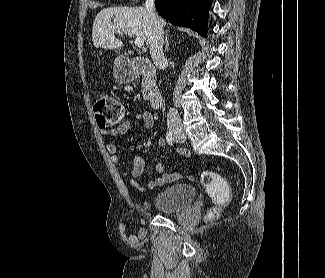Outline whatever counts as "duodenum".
Segmentation results:
<instances>
[{
	"label": "duodenum",
	"instance_id": "duodenum-1",
	"mask_svg": "<svg viewBox=\"0 0 325 278\" xmlns=\"http://www.w3.org/2000/svg\"><path fill=\"white\" fill-rule=\"evenodd\" d=\"M132 65L136 76L151 79L154 77L155 69L150 61L145 58H133ZM148 102L151 108L158 109L163 103V96L153 90L148 96Z\"/></svg>",
	"mask_w": 325,
	"mask_h": 278
}]
</instances>
